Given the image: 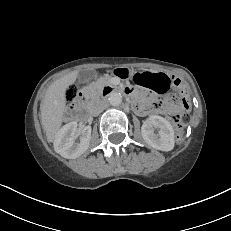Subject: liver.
Wrapping results in <instances>:
<instances>
[{
  "mask_svg": "<svg viewBox=\"0 0 231 231\" xmlns=\"http://www.w3.org/2000/svg\"><path fill=\"white\" fill-rule=\"evenodd\" d=\"M77 77V71L59 78L49 86L41 104V124L46 132L49 142H54L55 135L59 131L66 111V90Z\"/></svg>",
  "mask_w": 231,
  "mask_h": 231,
  "instance_id": "liver-1",
  "label": "liver"
}]
</instances>
